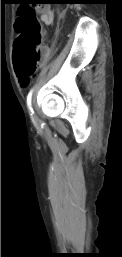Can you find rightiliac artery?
<instances>
[{
    "instance_id": "right-iliac-artery-1",
    "label": "right iliac artery",
    "mask_w": 122,
    "mask_h": 257,
    "mask_svg": "<svg viewBox=\"0 0 122 257\" xmlns=\"http://www.w3.org/2000/svg\"><path fill=\"white\" fill-rule=\"evenodd\" d=\"M32 92L33 90H31L27 96V105H28V108H29V111H30V115L33 116V109L31 107V98H32Z\"/></svg>"
}]
</instances>
